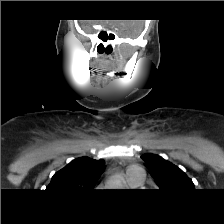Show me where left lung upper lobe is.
<instances>
[{"label":"left lung upper lobe","instance_id":"5c2ea615","mask_svg":"<svg viewBox=\"0 0 224 224\" xmlns=\"http://www.w3.org/2000/svg\"><path fill=\"white\" fill-rule=\"evenodd\" d=\"M141 158L161 191L179 193L195 190L192 180L178 166L155 154L147 153Z\"/></svg>","mask_w":224,"mask_h":224}]
</instances>
